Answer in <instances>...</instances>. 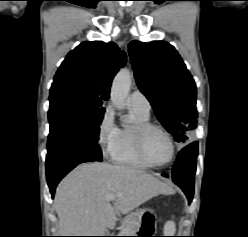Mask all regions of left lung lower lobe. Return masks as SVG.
Segmentation results:
<instances>
[{
	"label": "left lung lower lobe",
	"mask_w": 248,
	"mask_h": 237,
	"mask_svg": "<svg viewBox=\"0 0 248 237\" xmlns=\"http://www.w3.org/2000/svg\"><path fill=\"white\" fill-rule=\"evenodd\" d=\"M198 144L193 142L183 148L173 166L172 178L186 194L189 203L192 201L194 192V175L196 171ZM168 177V175L163 174Z\"/></svg>",
	"instance_id": "left-lung-lower-lobe-1"
}]
</instances>
